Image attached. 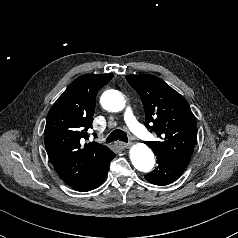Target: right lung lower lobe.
Masks as SVG:
<instances>
[{"label":"right lung lower lobe","instance_id":"obj_1","mask_svg":"<svg viewBox=\"0 0 238 238\" xmlns=\"http://www.w3.org/2000/svg\"><path fill=\"white\" fill-rule=\"evenodd\" d=\"M114 157L115 154L112 153L105 161H103L99 166H97L88 176L72 184L71 187L74 190L80 192L90 191L99 187L103 183L108 173L109 164Z\"/></svg>","mask_w":238,"mask_h":238}]
</instances>
